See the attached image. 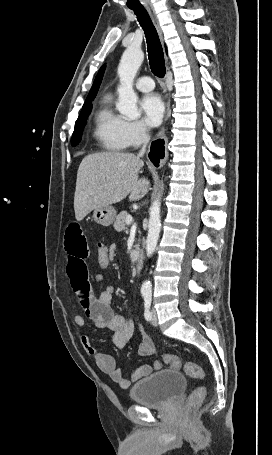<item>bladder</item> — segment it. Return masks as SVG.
<instances>
[{
	"instance_id": "1",
	"label": "bladder",
	"mask_w": 272,
	"mask_h": 455,
	"mask_svg": "<svg viewBox=\"0 0 272 455\" xmlns=\"http://www.w3.org/2000/svg\"><path fill=\"white\" fill-rule=\"evenodd\" d=\"M183 374L161 370L137 382L129 392L130 398L150 407H163L173 401L185 388Z\"/></svg>"
}]
</instances>
